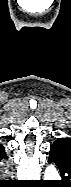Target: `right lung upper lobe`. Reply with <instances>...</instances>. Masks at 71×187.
Instances as JSON below:
<instances>
[{"label":"right lung upper lobe","instance_id":"1","mask_svg":"<svg viewBox=\"0 0 71 187\" xmlns=\"http://www.w3.org/2000/svg\"><path fill=\"white\" fill-rule=\"evenodd\" d=\"M0 152H1L2 157H6L4 147L1 144H0Z\"/></svg>","mask_w":71,"mask_h":187}]
</instances>
